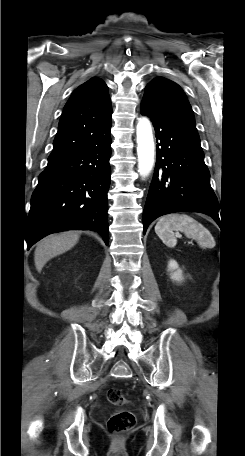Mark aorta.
I'll list each match as a JSON object with an SVG mask.
<instances>
[{
    "instance_id": "1",
    "label": "aorta",
    "mask_w": 245,
    "mask_h": 456,
    "mask_svg": "<svg viewBox=\"0 0 245 456\" xmlns=\"http://www.w3.org/2000/svg\"><path fill=\"white\" fill-rule=\"evenodd\" d=\"M137 135V155L138 172L142 177H146L151 172L154 165V140L150 121L143 117L140 118L136 128Z\"/></svg>"
}]
</instances>
